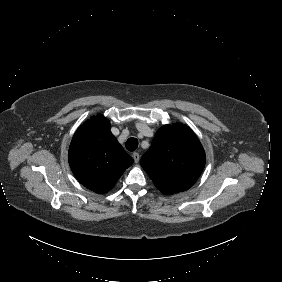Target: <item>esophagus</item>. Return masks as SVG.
Instances as JSON below:
<instances>
[{"mask_svg": "<svg viewBox=\"0 0 282 282\" xmlns=\"http://www.w3.org/2000/svg\"><path fill=\"white\" fill-rule=\"evenodd\" d=\"M133 159H134L135 163L139 162V153L138 152L133 153Z\"/></svg>", "mask_w": 282, "mask_h": 282, "instance_id": "34e87169", "label": "esophagus"}]
</instances>
